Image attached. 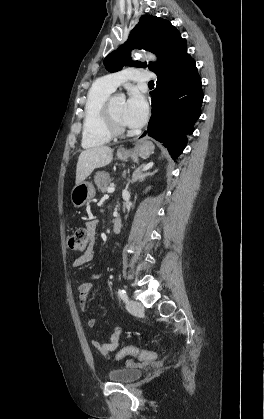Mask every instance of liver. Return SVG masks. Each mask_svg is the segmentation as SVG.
Returning a JSON list of instances; mask_svg holds the SVG:
<instances>
[{"mask_svg":"<svg viewBox=\"0 0 264 419\" xmlns=\"http://www.w3.org/2000/svg\"><path fill=\"white\" fill-rule=\"evenodd\" d=\"M113 149L108 146H98L83 150L79 155L76 168V185L83 182L96 168L111 163Z\"/></svg>","mask_w":264,"mask_h":419,"instance_id":"1","label":"liver"}]
</instances>
